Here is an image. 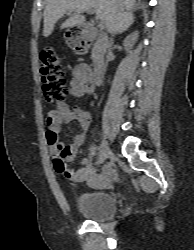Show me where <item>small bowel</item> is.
<instances>
[{"instance_id": "c3829d8e", "label": "small bowel", "mask_w": 194, "mask_h": 250, "mask_svg": "<svg viewBox=\"0 0 194 250\" xmlns=\"http://www.w3.org/2000/svg\"><path fill=\"white\" fill-rule=\"evenodd\" d=\"M92 70L88 64H78L73 72L69 83L68 92L74 97L91 94L95 84L91 79ZM77 120L80 125L79 132L74 136L73 142L63 144L59 141V134L64 124ZM47 131L46 140L53 158V165L57 173L74 183H94V170L89 159L82 161V166L74 171L67 167L66 163L74 159L78 148L84 144L87 131L91 124V115L88 111L76 107L72 109L67 103L58 104L56 109L50 110L46 117ZM114 171L107 168L106 179L114 176Z\"/></svg>"}]
</instances>
